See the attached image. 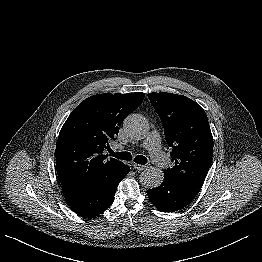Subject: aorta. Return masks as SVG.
Instances as JSON below:
<instances>
[{"mask_svg": "<svg viewBox=\"0 0 262 262\" xmlns=\"http://www.w3.org/2000/svg\"><path fill=\"white\" fill-rule=\"evenodd\" d=\"M123 127L127 134L134 139H143L148 134V124L145 118L139 114H130L126 117ZM140 183L145 188H156L164 180V172L159 168H148L140 177Z\"/></svg>", "mask_w": 262, "mask_h": 262, "instance_id": "aorta-1", "label": "aorta"}]
</instances>
